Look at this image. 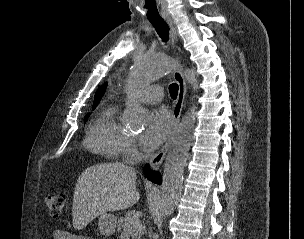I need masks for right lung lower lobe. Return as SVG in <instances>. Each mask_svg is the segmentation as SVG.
<instances>
[{
    "label": "right lung lower lobe",
    "instance_id": "98d812e1",
    "mask_svg": "<svg viewBox=\"0 0 304 239\" xmlns=\"http://www.w3.org/2000/svg\"><path fill=\"white\" fill-rule=\"evenodd\" d=\"M145 175L154 183L160 184L161 183V176L158 172H152L150 167L146 165L144 167Z\"/></svg>",
    "mask_w": 304,
    "mask_h": 239
}]
</instances>
